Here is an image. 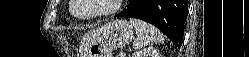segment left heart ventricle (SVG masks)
Segmentation results:
<instances>
[{
  "instance_id": "1",
  "label": "left heart ventricle",
  "mask_w": 249,
  "mask_h": 57,
  "mask_svg": "<svg viewBox=\"0 0 249 57\" xmlns=\"http://www.w3.org/2000/svg\"><path fill=\"white\" fill-rule=\"evenodd\" d=\"M111 0H78L75 8L77 15H89L106 10L110 7Z\"/></svg>"
}]
</instances>
